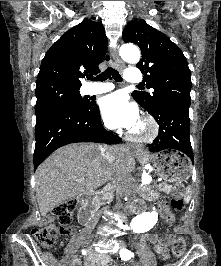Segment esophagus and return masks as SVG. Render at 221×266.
Instances as JSON below:
<instances>
[{"instance_id":"obj_1","label":"esophagus","mask_w":221,"mask_h":266,"mask_svg":"<svg viewBox=\"0 0 221 266\" xmlns=\"http://www.w3.org/2000/svg\"><path fill=\"white\" fill-rule=\"evenodd\" d=\"M111 55H112V57H113V59H114V61L116 63L117 69L122 72L123 69H124V67H125V65L122 62V60L118 57L117 51L115 49H112L111 50ZM137 152L138 153H141L142 150L141 149H138Z\"/></svg>"}]
</instances>
